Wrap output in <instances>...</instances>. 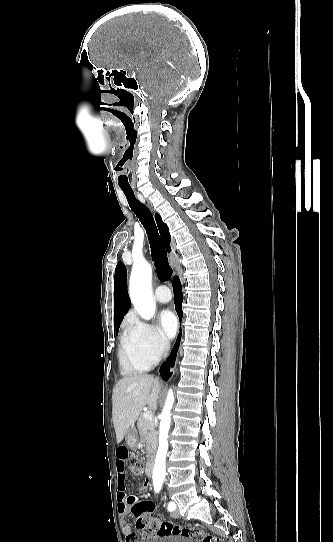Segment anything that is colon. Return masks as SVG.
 I'll return each instance as SVG.
<instances>
[{"mask_svg":"<svg viewBox=\"0 0 333 542\" xmlns=\"http://www.w3.org/2000/svg\"><path fill=\"white\" fill-rule=\"evenodd\" d=\"M129 465L134 476H140L146 471V466L140 459L131 457ZM128 500L132 503L130 513L135 520L136 528L143 531L146 536H150L153 540L175 535L194 542H229L227 536H214L204 533L196 527H186L156 518L152 515V510L154 509V502L152 500L136 502L137 499L133 495ZM132 538H135V535H132ZM141 538L128 539V542H141Z\"/></svg>","mask_w":333,"mask_h":542,"instance_id":"obj_1","label":"colon"}]
</instances>
